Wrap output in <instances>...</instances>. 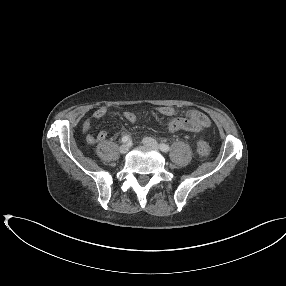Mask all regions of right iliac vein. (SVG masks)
I'll return each mask as SVG.
<instances>
[{
  "label": "right iliac vein",
  "mask_w": 286,
  "mask_h": 286,
  "mask_svg": "<svg viewBox=\"0 0 286 286\" xmlns=\"http://www.w3.org/2000/svg\"><path fill=\"white\" fill-rule=\"evenodd\" d=\"M119 151L121 154H126L129 151V146L127 144H123L120 146Z\"/></svg>",
  "instance_id": "right-iliac-vein-1"
}]
</instances>
